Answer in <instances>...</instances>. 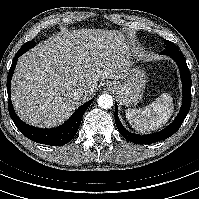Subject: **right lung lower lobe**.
Here are the masks:
<instances>
[{
	"label": "right lung lower lobe",
	"instance_id": "98d812e1",
	"mask_svg": "<svg viewBox=\"0 0 199 199\" xmlns=\"http://www.w3.org/2000/svg\"><path fill=\"white\" fill-rule=\"evenodd\" d=\"M29 50V46H23L19 49L17 54L14 57L12 65L10 67L8 77H7V92H8V110L9 114L20 130V132L26 136L28 139L46 145L52 146H61L68 142H70L73 137L76 135L79 125L81 123L82 117L84 112L87 110L91 101L86 102L82 106H80L70 117V119L62 126L52 129H41L36 128L33 126H29L28 124L24 123L15 113L13 109V105L10 99V85H11V78L17 63L18 58L24 54L26 51Z\"/></svg>",
	"mask_w": 199,
	"mask_h": 199
}]
</instances>
